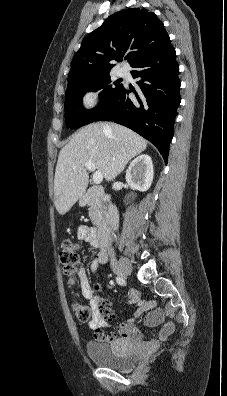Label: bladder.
<instances>
[{"label": "bladder", "instance_id": "31cf9c89", "mask_svg": "<svg viewBox=\"0 0 227 396\" xmlns=\"http://www.w3.org/2000/svg\"><path fill=\"white\" fill-rule=\"evenodd\" d=\"M86 354L95 364L117 371L131 369L137 362V354L125 343H101L90 341L86 344Z\"/></svg>", "mask_w": 227, "mask_h": 396}]
</instances>
